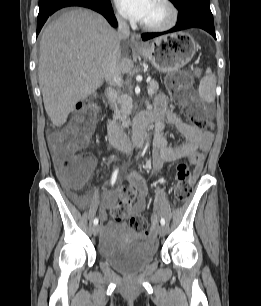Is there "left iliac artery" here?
Returning <instances> with one entry per match:
<instances>
[{"label": "left iliac artery", "mask_w": 261, "mask_h": 306, "mask_svg": "<svg viewBox=\"0 0 261 306\" xmlns=\"http://www.w3.org/2000/svg\"><path fill=\"white\" fill-rule=\"evenodd\" d=\"M160 223H161V225H165V219L161 218Z\"/></svg>", "instance_id": "1"}]
</instances>
